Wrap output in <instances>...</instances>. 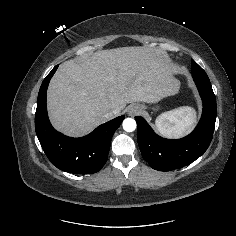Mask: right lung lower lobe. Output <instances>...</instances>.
Listing matches in <instances>:
<instances>
[{
	"label": "right lung lower lobe",
	"instance_id": "obj_1",
	"mask_svg": "<svg viewBox=\"0 0 236 236\" xmlns=\"http://www.w3.org/2000/svg\"><path fill=\"white\" fill-rule=\"evenodd\" d=\"M57 68L58 65L46 76L39 90L35 113L37 137L46 156L58 169L73 174H93L107 162L112 136L125 116L98 126L81 138L67 137L56 131L48 118L46 91Z\"/></svg>",
	"mask_w": 236,
	"mask_h": 236
}]
</instances>
